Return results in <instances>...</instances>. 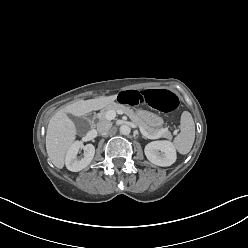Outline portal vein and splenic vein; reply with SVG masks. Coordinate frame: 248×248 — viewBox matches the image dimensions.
Wrapping results in <instances>:
<instances>
[{"label":"portal vein and splenic vein","mask_w":248,"mask_h":248,"mask_svg":"<svg viewBox=\"0 0 248 248\" xmlns=\"http://www.w3.org/2000/svg\"><path fill=\"white\" fill-rule=\"evenodd\" d=\"M124 112L121 111V110H118V111H114V110H109L106 115H105V119L111 121L115 118L116 114H123ZM140 131L146 135L147 132L142 128V127H139ZM168 129H161L159 131V133H157L156 135H148L150 138H160L161 137V134L166 132Z\"/></svg>","instance_id":"1"}]
</instances>
